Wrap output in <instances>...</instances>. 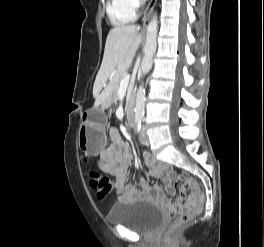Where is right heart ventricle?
Returning a JSON list of instances; mask_svg holds the SVG:
<instances>
[{"instance_id": "obj_1", "label": "right heart ventricle", "mask_w": 264, "mask_h": 247, "mask_svg": "<svg viewBox=\"0 0 264 247\" xmlns=\"http://www.w3.org/2000/svg\"><path fill=\"white\" fill-rule=\"evenodd\" d=\"M107 13L115 25H124L135 19V13L126 8L123 0H109Z\"/></svg>"}]
</instances>
